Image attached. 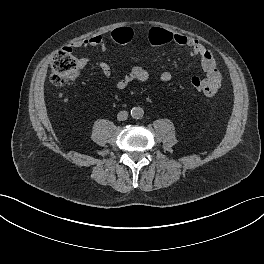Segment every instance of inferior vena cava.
<instances>
[{
	"instance_id": "obj_1",
	"label": "inferior vena cava",
	"mask_w": 264,
	"mask_h": 264,
	"mask_svg": "<svg viewBox=\"0 0 264 264\" xmlns=\"http://www.w3.org/2000/svg\"><path fill=\"white\" fill-rule=\"evenodd\" d=\"M128 118V112L127 111H120L117 115V119L119 121H125Z\"/></svg>"
}]
</instances>
